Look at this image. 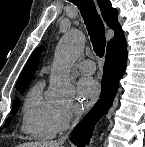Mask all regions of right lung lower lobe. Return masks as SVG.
<instances>
[{
    "instance_id": "right-lung-lower-lobe-1",
    "label": "right lung lower lobe",
    "mask_w": 145,
    "mask_h": 147,
    "mask_svg": "<svg viewBox=\"0 0 145 147\" xmlns=\"http://www.w3.org/2000/svg\"><path fill=\"white\" fill-rule=\"evenodd\" d=\"M127 63V46L124 34L107 46V53L101 81L100 99L75 127L71 141L78 147L89 142L98 120L108 111L118 90V81L124 74Z\"/></svg>"
}]
</instances>
